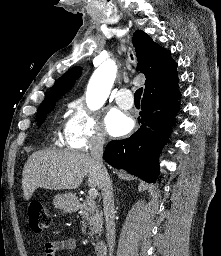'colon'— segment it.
<instances>
[{"label":"colon","mask_w":221,"mask_h":256,"mask_svg":"<svg viewBox=\"0 0 221 256\" xmlns=\"http://www.w3.org/2000/svg\"><path fill=\"white\" fill-rule=\"evenodd\" d=\"M28 223L33 232L39 233L46 231L50 228L51 217L39 201H31L27 207Z\"/></svg>","instance_id":"colon-1"}]
</instances>
